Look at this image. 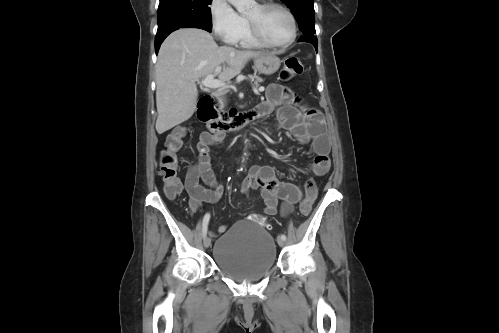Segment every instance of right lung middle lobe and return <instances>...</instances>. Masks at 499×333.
<instances>
[{"mask_svg": "<svg viewBox=\"0 0 499 333\" xmlns=\"http://www.w3.org/2000/svg\"><path fill=\"white\" fill-rule=\"evenodd\" d=\"M212 0H160L158 31L191 24L212 27L209 5Z\"/></svg>", "mask_w": 499, "mask_h": 333, "instance_id": "right-lung-middle-lobe-1", "label": "right lung middle lobe"}]
</instances>
